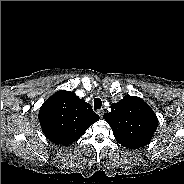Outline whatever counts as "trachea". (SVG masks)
<instances>
[{"label":"trachea","instance_id":"3493384b","mask_svg":"<svg viewBox=\"0 0 184 184\" xmlns=\"http://www.w3.org/2000/svg\"><path fill=\"white\" fill-rule=\"evenodd\" d=\"M101 106H102V101H101V99L95 98V99H94V109H95V110L100 109Z\"/></svg>","mask_w":184,"mask_h":184}]
</instances>
